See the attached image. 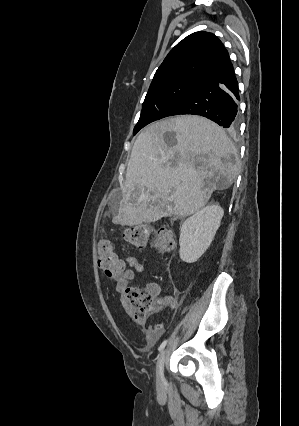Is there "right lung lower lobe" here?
Wrapping results in <instances>:
<instances>
[{"label":"right lung lower lobe","instance_id":"obj_1","mask_svg":"<svg viewBox=\"0 0 299 426\" xmlns=\"http://www.w3.org/2000/svg\"><path fill=\"white\" fill-rule=\"evenodd\" d=\"M238 100V83L232 67L176 101L159 119L179 114L201 115L224 128L234 130Z\"/></svg>","mask_w":299,"mask_h":426}]
</instances>
